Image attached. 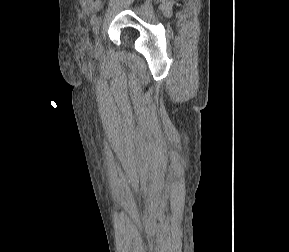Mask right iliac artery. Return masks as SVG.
Masks as SVG:
<instances>
[{
  "label": "right iliac artery",
  "mask_w": 289,
  "mask_h": 252,
  "mask_svg": "<svg viewBox=\"0 0 289 252\" xmlns=\"http://www.w3.org/2000/svg\"><path fill=\"white\" fill-rule=\"evenodd\" d=\"M100 25H101V17H95V18H93V32H94L95 34L98 33L99 28H100Z\"/></svg>",
  "instance_id": "obj_1"
}]
</instances>
